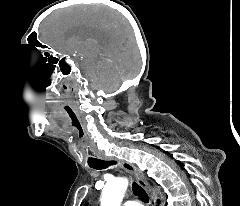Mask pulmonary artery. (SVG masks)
Masks as SVG:
<instances>
[{
	"mask_svg": "<svg viewBox=\"0 0 240 206\" xmlns=\"http://www.w3.org/2000/svg\"><path fill=\"white\" fill-rule=\"evenodd\" d=\"M123 206H142V204L138 201L128 200L124 202Z\"/></svg>",
	"mask_w": 240,
	"mask_h": 206,
	"instance_id": "pulmonary-artery-1",
	"label": "pulmonary artery"
}]
</instances>
